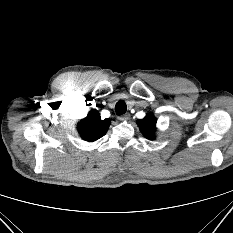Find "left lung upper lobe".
<instances>
[{"label": "left lung upper lobe", "instance_id": "left-lung-upper-lobe-1", "mask_svg": "<svg viewBox=\"0 0 233 233\" xmlns=\"http://www.w3.org/2000/svg\"><path fill=\"white\" fill-rule=\"evenodd\" d=\"M138 126L143 135L148 139H154L156 129V119L153 114L149 113L143 120L137 121Z\"/></svg>", "mask_w": 233, "mask_h": 233}]
</instances>
